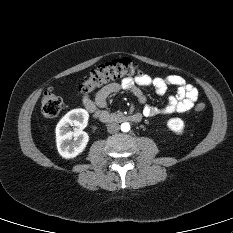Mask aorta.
<instances>
[{"instance_id": "obj_1", "label": "aorta", "mask_w": 233, "mask_h": 233, "mask_svg": "<svg viewBox=\"0 0 233 233\" xmlns=\"http://www.w3.org/2000/svg\"><path fill=\"white\" fill-rule=\"evenodd\" d=\"M120 128H121V131L128 132L130 130V124L127 122L122 123Z\"/></svg>"}]
</instances>
